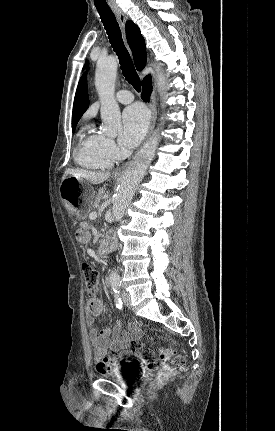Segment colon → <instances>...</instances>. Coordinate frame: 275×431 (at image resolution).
<instances>
[{
  "instance_id": "obj_1",
  "label": "colon",
  "mask_w": 275,
  "mask_h": 431,
  "mask_svg": "<svg viewBox=\"0 0 275 431\" xmlns=\"http://www.w3.org/2000/svg\"><path fill=\"white\" fill-rule=\"evenodd\" d=\"M82 269L85 277L87 290L90 294H96L99 289V271L97 267L90 262H84ZM128 351L136 354L144 361L150 370L157 371L156 385L162 384L170 374L178 369H182L186 364V359L183 355L175 353L170 348H161L159 352V360L166 365L160 368V363L155 360L154 353L151 349L146 348L142 343L135 340H130L128 343ZM116 354L112 355H97V369L100 372L107 371L116 363Z\"/></svg>"
}]
</instances>
